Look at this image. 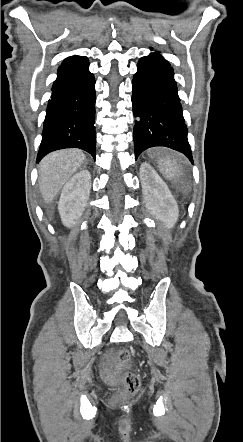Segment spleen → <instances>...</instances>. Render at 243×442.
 I'll list each match as a JSON object with an SVG mask.
<instances>
[{"instance_id": "spleen-1", "label": "spleen", "mask_w": 243, "mask_h": 442, "mask_svg": "<svg viewBox=\"0 0 243 442\" xmlns=\"http://www.w3.org/2000/svg\"><path fill=\"white\" fill-rule=\"evenodd\" d=\"M158 169L167 179H177L180 175L179 167L170 157H161L158 159Z\"/></svg>"}]
</instances>
